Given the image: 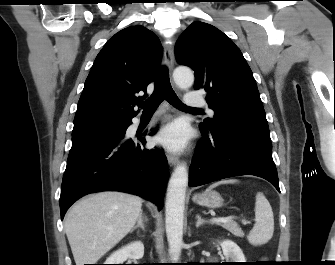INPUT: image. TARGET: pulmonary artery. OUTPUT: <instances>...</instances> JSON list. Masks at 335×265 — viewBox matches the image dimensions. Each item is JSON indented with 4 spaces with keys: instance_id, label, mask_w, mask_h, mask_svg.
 Returning <instances> with one entry per match:
<instances>
[{
    "instance_id": "pulmonary-artery-1",
    "label": "pulmonary artery",
    "mask_w": 335,
    "mask_h": 265,
    "mask_svg": "<svg viewBox=\"0 0 335 265\" xmlns=\"http://www.w3.org/2000/svg\"><path fill=\"white\" fill-rule=\"evenodd\" d=\"M185 104H186V106L191 107V108L206 107V102H205L204 98L202 97L201 94H199L196 91L189 92L186 95ZM207 110H208L209 113H211V114L213 113V111L211 109L207 108Z\"/></svg>"
}]
</instances>
